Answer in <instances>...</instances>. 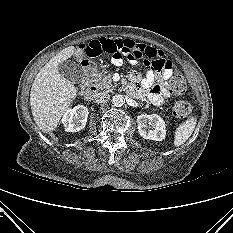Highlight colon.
<instances>
[{"label": "colon", "mask_w": 233, "mask_h": 233, "mask_svg": "<svg viewBox=\"0 0 233 233\" xmlns=\"http://www.w3.org/2000/svg\"><path fill=\"white\" fill-rule=\"evenodd\" d=\"M83 66L87 68L86 63H83ZM91 79H92V75L86 69L85 80L90 81ZM169 87H170L172 93L177 94V95H181V94L185 93V91L187 89L186 80L181 74L177 73L171 78L170 83H169ZM173 112H174V115L176 117L185 118L190 114L191 106L188 102H186L184 100H177L173 105Z\"/></svg>", "instance_id": "1"}]
</instances>
